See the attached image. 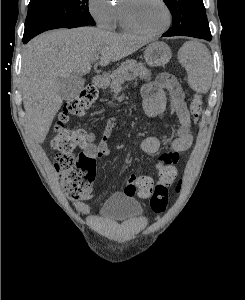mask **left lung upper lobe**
Masks as SVG:
<instances>
[{"instance_id": "left-lung-upper-lobe-1", "label": "left lung upper lobe", "mask_w": 245, "mask_h": 300, "mask_svg": "<svg viewBox=\"0 0 245 300\" xmlns=\"http://www.w3.org/2000/svg\"><path fill=\"white\" fill-rule=\"evenodd\" d=\"M172 17V28L165 35L210 33L203 0H163Z\"/></svg>"}]
</instances>
